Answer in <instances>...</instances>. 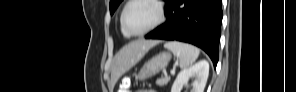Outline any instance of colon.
<instances>
[{
    "mask_svg": "<svg viewBox=\"0 0 296 92\" xmlns=\"http://www.w3.org/2000/svg\"><path fill=\"white\" fill-rule=\"evenodd\" d=\"M130 87H131V79L129 77H126L122 79L120 82V92H130Z\"/></svg>",
    "mask_w": 296,
    "mask_h": 92,
    "instance_id": "obj_1",
    "label": "colon"
}]
</instances>
